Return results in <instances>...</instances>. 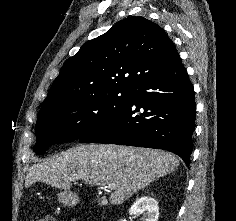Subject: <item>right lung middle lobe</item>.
I'll return each instance as SVG.
<instances>
[{
  "mask_svg": "<svg viewBox=\"0 0 236 221\" xmlns=\"http://www.w3.org/2000/svg\"><path fill=\"white\" fill-rule=\"evenodd\" d=\"M130 94V90L109 91L42 108L35 126L36 153L40 155L53 144L78 140L95 131L128 102Z\"/></svg>",
  "mask_w": 236,
  "mask_h": 221,
  "instance_id": "dd1d6c3e",
  "label": "right lung middle lobe"
}]
</instances>
